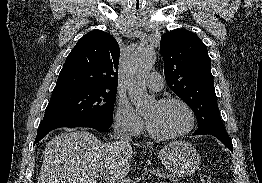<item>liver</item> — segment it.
Masks as SVG:
<instances>
[{
    "label": "liver",
    "instance_id": "1",
    "mask_svg": "<svg viewBox=\"0 0 262 183\" xmlns=\"http://www.w3.org/2000/svg\"><path fill=\"white\" fill-rule=\"evenodd\" d=\"M132 155L127 141L104 143L90 132L70 129L47 144L38 183H97L101 173L123 178Z\"/></svg>",
    "mask_w": 262,
    "mask_h": 183
}]
</instances>
